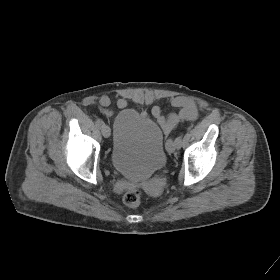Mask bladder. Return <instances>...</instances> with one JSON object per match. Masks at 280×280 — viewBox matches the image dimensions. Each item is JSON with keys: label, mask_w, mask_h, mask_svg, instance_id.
<instances>
[{"label": "bladder", "mask_w": 280, "mask_h": 280, "mask_svg": "<svg viewBox=\"0 0 280 280\" xmlns=\"http://www.w3.org/2000/svg\"><path fill=\"white\" fill-rule=\"evenodd\" d=\"M110 160L116 171L133 180L160 171L166 155L159 123L134 109L120 111L113 122Z\"/></svg>", "instance_id": "obj_1"}]
</instances>
